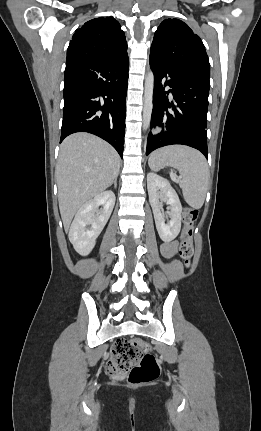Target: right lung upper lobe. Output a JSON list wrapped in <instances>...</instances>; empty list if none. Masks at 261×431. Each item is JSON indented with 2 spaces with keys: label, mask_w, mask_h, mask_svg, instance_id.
<instances>
[{
  "label": "right lung upper lobe",
  "mask_w": 261,
  "mask_h": 431,
  "mask_svg": "<svg viewBox=\"0 0 261 431\" xmlns=\"http://www.w3.org/2000/svg\"><path fill=\"white\" fill-rule=\"evenodd\" d=\"M127 56V43L120 24L100 17L77 29L67 49L66 65L85 61H116Z\"/></svg>",
  "instance_id": "right-lung-upper-lobe-1"
}]
</instances>
